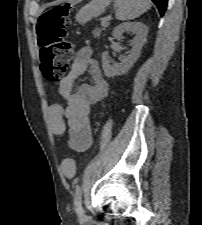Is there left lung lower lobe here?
Instances as JSON below:
<instances>
[{
    "mask_svg": "<svg viewBox=\"0 0 202 225\" xmlns=\"http://www.w3.org/2000/svg\"><path fill=\"white\" fill-rule=\"evenodd\" d=\"M152 1L156 4V6L160 12V15L161 16L164 15L168 0H152Z\"/></svg>",
    "mask_w": 202,
    "mask_h": 225,
    "instance_id": "0a47b994",
    "label": "left lung lower lobe"
}]
</instances>
